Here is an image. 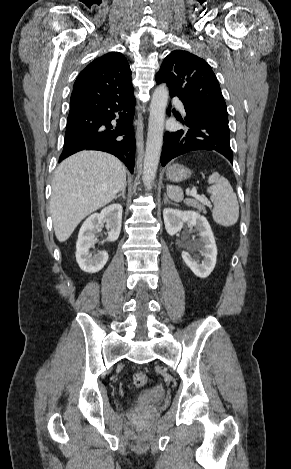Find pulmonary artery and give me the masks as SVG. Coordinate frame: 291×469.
Listing matches in <instances>:
<instances>
[{
    "mask_svg": "<svg viewBox=\"0 0 291 469\" xmlns=\"http://www.w3.org/2000/svg\"><path fill=\"white\" fill-rule=\"evenodd\" d=\"M173 102L181 111H184V105L179 99H174Z\"/></svg>",
    "mask_w": 291,
    "mask_h": 469,
    "instance_id": "e3ab8cb5",
    "label": "pulmonary artery"
}]
</instances>
